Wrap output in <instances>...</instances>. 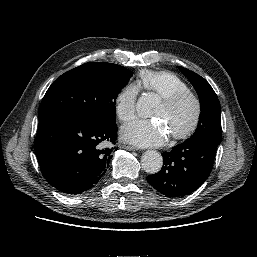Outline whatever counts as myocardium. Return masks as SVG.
I'll return each mask as SVG.
<instances>
[{"label":"myocardium","mask_w":257,"mask_h":257,"mask_svg":"<svg viewBox=\"0 0 257 257\" xmlns=\"http://www.w3.org/2000/svg\"><path fill=\"white\" fill-rule=\"evenodd\" d=\"M186 99H190L194 103V116L190 124L183 131L171 135L175 140L185 139L195 131L202 116V101L196 93L190 90L176 92L171 95L162 97L161 99V102L168 108H173Z\"/></svg>","instance_id":"1"}]
</instances>
